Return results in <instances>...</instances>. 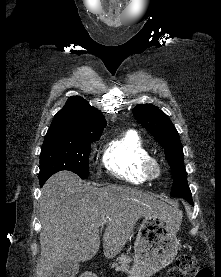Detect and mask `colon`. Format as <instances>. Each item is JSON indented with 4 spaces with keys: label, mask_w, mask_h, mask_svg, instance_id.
Returning <instances> with one entry per match:
<instances>
[{
    "label": "colon",
    "mask_w": 221,
    "mask_h": 277,
    "mask_svg": "<svg viewBox=\"0 0 221 277\" xmlns=\"http://www.w3.org/2000/svg\"><path fill=\"white\" fill-rule=\"evenodd\" d=\"M168 277H212V272L208 268H200L195 257L189 255H179L175 266L168 272Z\"/></svg>",
    "instance_id": "5ec220e1"
}]
</instances>
